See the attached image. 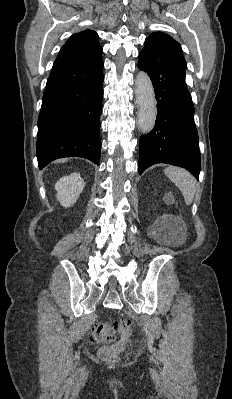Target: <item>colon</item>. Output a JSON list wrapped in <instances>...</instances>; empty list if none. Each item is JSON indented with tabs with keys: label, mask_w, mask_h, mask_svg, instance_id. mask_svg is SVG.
Instances as JSON below:
<instances>
[{
	"label": "colon",
	"mask_w": 232,
	"mask_h": 399,
	"mask_svg": "<svg viewBox=\"0 0 232 399\" xmlns=\"http://www.w3.org/2000/svg\"><path fill=\"white\" fill-rule=\"evenodd\" d=\"M130 321H118V323H109V326H94V341H101V347H114V341H122L123 328H130ZM101 361L105 365H111L115 361L114 351H101Z\"/></svg>",
	"instance_id": "obj_1"
}]
</instances>
